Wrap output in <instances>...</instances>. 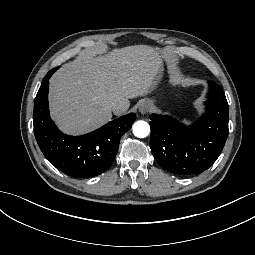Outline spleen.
<instances>
[{"mask_svg": "<svg viewBox=\"0 0 255 255\" xmlns=\"http://www.w3.org/2000/svg\"><path fill=\"white\" fill-rule=\"evenodd\" d=\"M184 122L187 124V123H189V122H187L186 120H184Z\"/></svg>", "mask_w": 255, "mask_h": 255, "instance_id": "spleen-1", "label": "spleen"}]
</instances>
